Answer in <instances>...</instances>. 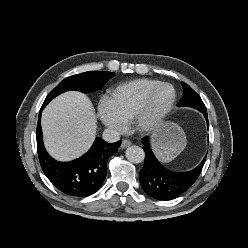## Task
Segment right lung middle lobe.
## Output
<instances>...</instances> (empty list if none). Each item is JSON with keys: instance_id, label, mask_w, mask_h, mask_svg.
<instances>
[{"instance_id": "obj_1", "label": "right lung middle lobe", "mask_w": 248, "mask_h": 248, "mask_svg": "<svg viewBox=\"0 0 248 248\" xmlns=\"http://www.w3.org/2000/svg\"><path fill=\"white\" fill-rule=\"evenodd\" d=\"M113 76V72L89 71L67 77L48 94L43 104L47 105L53 98L65 91L77 90L89 93L98 90Z\"/></svg>"}]
</instances>
